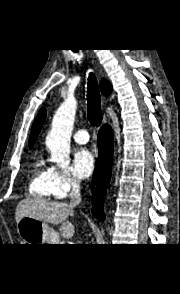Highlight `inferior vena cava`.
<instances>
[{"label": "inferior vena cava", "instance_id": "obj_1", "mask_svg": "<svg viewBox=\"0 0 180 294\" xmlns=\"http://www.w3.org/2000/svg\"><path fill=\"white\" fill-rule=\"evenodd\" d=\"M70 198V206L74 207L81 202V195H80V181L75 180L72 182V189L69 194Z\"/></svg>", "mask_w": 180, "mask_h": 294}]
</instances>
